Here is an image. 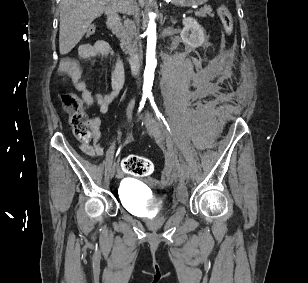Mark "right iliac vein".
<instances>
[{
	"label": "right iliac vein",
	"instance_id": "63e3f726",
	"mask_svg": "<svg viewBox=\"0 0 308 283\" xmlns=\"http://www.w3.org/2000/svg\"><path fill=\"white\" fill-rule=\"evenodd\" d=\"M116 166H117V163L114 162L112 167H111V170H110V175L111 177H113L115 175V171H116Z\"/></svg>",
	"mask_w": 308,
	"mask_h": 283
}]
</instances>
